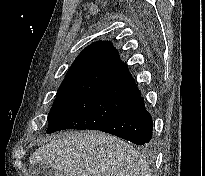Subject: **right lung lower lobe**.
I'll use <instances>...</instances> for the list:
<instances>
[{
  "instance_id": "98d812e1",
  "label": "right lung lower lobe",
  "mask_w": 205,
  "mask_h": 176,
  "mask_svg": "<svg viewBox=\"0 0 205 176\" xmlns=\"http://www.w3.org/2000/svg\"><path fill=\"white\" fill-rule=\"evenodd\" d=\"M153 121L146 111L141 94L131 99L122 112L100 131L113 134L137 145L149 146Z\"/></svg>"
}]
</instances>
